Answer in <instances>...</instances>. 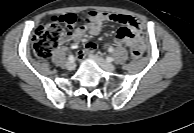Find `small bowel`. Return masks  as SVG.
<instances>
[{"instance_id":"1","label":"small bowel","mask_w":194,"mask_h":133,"mask_svg":"<svg viewBox=\"0 0 194 133\" xmlns=\"http://www.w3.org/2000/svg\"><path fill=\"white\" fill-rule=\"evenodd\" d=\"M105 22H117L122 25L116 32L115 43L117 45H126L130 49L133 46H138L141 51L144 50L145 44L141 23L133 16L108 12H89L86 16L85 23L78 26L75 30L67 32L61 41L79 42L86 36V34L98 35ZM105 49L112 51L113 44H106Z\"/></svg>"}]
</instances>
